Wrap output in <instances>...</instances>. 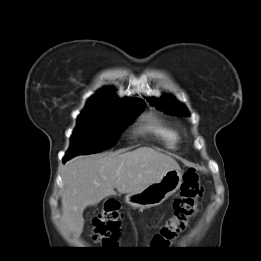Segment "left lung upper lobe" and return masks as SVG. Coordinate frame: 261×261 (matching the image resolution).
<instances>
[{
    "label": "left lung upper lobe",
    "mask_w": 261,
    "mask_h": 261,
    "mask_svg": "<svg viewBox=\"0 0 261 261\" xmlns=\"http://www.w3.org/2000/svg\"><path fill=\"white\" fill-rule=\"evenodd\" d=\"M151 105H156L158 109H163L166 113L179 116H188L187 109L173 98H162L160 101L150 99Z\"/></svg>",
    "instance_id": "5c2ea615"
}]
</instances>
